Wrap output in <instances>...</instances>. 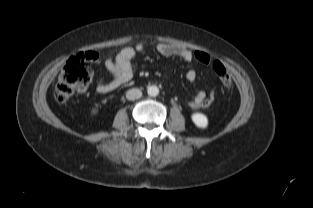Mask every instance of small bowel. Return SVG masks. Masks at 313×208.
<instances>
[{
	"mask_svg": "<svg viewBox=\"0 0 313 208\" xmlns=\"http://www.w3.org/2000/svg\"><path fill=\"white\" fill-rule=\"evenodd\" d=\"M146 46L143 43H138L134 47L123 48L115 57H108L104 61V66L112 76L111 80L106 82L100 80L96 85V90L100 94L110 93L120 86L127 83L133 75L132 61L138 53H143ZM156 50L162 56L165 57H179L186 62H190L194 59L193 52L178 47L169 43H159L156 45ZM95 53V52H94ZM94 62L99 63V56L96 54ZM197 77V73L194 69H189L186 73V79L189 82H194ZM206 93L200 90L196 93L194 98L188 102V106L191 108H200L202 102L206 99Z\"/></svg>",
	"mask_w": 313,
	"mask_h": 208,
	"instance_id": "small-bowel-1",
	"label": "small bowel"
}]
</instances>
